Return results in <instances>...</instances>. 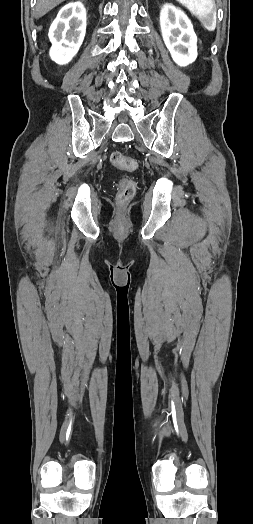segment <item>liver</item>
I'll return each mask as SVG.
<instances>
[{
  "mask_svg": "<svg viewBox=\"0 0 253 524\" xmlns=\"http://www.w3.org/2000/svg\"><path fill=\"white\" fill-rule=\"evenodd\" d=\"M65 0H38L35 7V17L40 18Z\"/></svg>",
  "mask_w": 253,
  "mask_h": 524,
  "instance_id": "obj_1",
  "label": "liver"
}]
</instances>
